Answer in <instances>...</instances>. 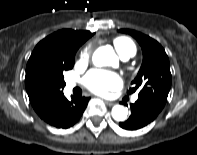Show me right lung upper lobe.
<instances>
[{
    "label": "right lung upper lobe",
    "mask_w": 197,
    "mask_h": 155,
    "mask_svg": "<svg viewBox=\"0 0 197 155\" xmlns=\"http://www.w3.org/2000/svg\"><path fill=\"white\" fill-rule=\"evenodd\" d=\"M92 35L94 33L89 31L62 29L41 40L34 48L26 67L25 86L30 103L40 117L63 96V91L45 92L32 85L31 79L39 63L76 52Z\"/></svg>",
    "instance_id": "obj_1"
}]
</instances>
